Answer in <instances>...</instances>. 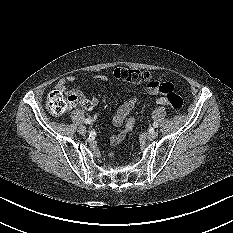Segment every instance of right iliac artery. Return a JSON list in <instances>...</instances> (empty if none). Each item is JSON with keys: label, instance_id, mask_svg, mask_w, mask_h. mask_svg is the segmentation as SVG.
Segmentation results:
<instances>
[{"label": "right iliac artery", "instance_id": "82829eb1", "mask_svg": "<svg viewBox=\"0 0 233 233\" xmlns=\"http://www.w3.org/2000/svg\"><path fill=\"white\" fill-rule=\"evenodd\" d=\"M91 122H92V120H91L90 118H87V119H85V121H84L85 124H90Z\"/></svg>", "mask_w": 233, "mask_h": 233}]
</instances>
